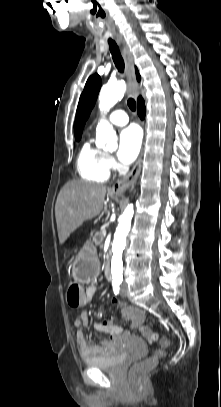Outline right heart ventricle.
<instances>
[{"label": "right heart ventricle", "mask_w": 221, "mask_h": 407, "mask_svg": "<svg viewBox=\"0 0 221 407\" xmlns=\"http://www.w3.org/2000/svg\"><path fill=\"white\" fill-rule=\"evenodd\" d=\"M77 170L79 175L88 181L105 182L109 177V169L106 164V154L86 142L77 158Z\"/></svg>", "instance_id": "obj_1"}]
</instances>
